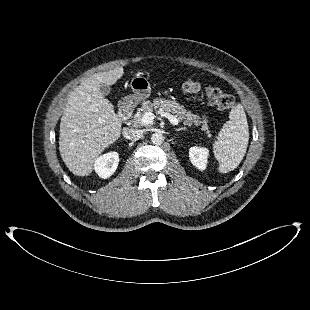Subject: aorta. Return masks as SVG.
<instances>
[{"instance_id": "aorta-1", "label": "aorta", "mask_w": 310, "mask_h": 310, "mask_svg": "<svg viewBox=\"0 0 310 310\" xmlns=\"http://www.w3.org/2000/svg\"><path fill=\"white\" fill-rule=\"evenodd\" d=\"M164 141V137L159 134V133H154L152 134L151 136V142L154 144V145H161Z\"/></svg>"}]
</instances>
